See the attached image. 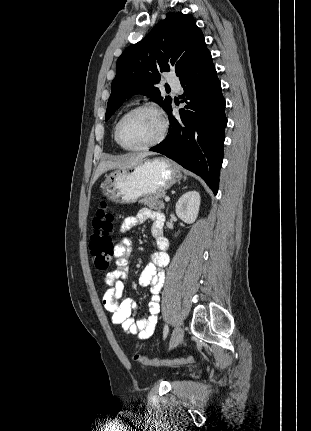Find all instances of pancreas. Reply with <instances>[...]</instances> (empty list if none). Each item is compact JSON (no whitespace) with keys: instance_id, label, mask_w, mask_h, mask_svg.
Listing matches in <instances>:
<instances>
[{"instance_id":"obj_1","label":"pancreas","mask_w":311,"mask_h":431,"mask_svg":"<svg viewBox=\"0 0 311 431\" xmlns=\"http://www.w3.org/2000/svg\"><path fill=\"white\" fill-rule=\"evenodd\" d=\"M165 194L166 192H160V194H154V196H144V198H140L138 204H143V206H147L150 210L161 212L164 208L161 198H164Z\"/></svg>"}]
</instances>
